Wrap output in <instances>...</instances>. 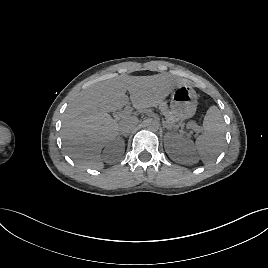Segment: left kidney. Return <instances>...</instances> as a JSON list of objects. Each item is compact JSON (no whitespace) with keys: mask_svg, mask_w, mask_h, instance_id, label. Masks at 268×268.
<instances>
[{"mask_svg":"<svg viewBox=\"0 0 268 268\" xmlns=\"http://www.w3.org/2000/svg\"><path fill=\"white\" fill-rule=\"evenodd\" d=\"M164 147L169 157L176 162L182 164H194L198 162V156L192 140L180 134H166Z\"/></svg>","mask_w":268,"mask_h":268,"instance_id":"left-kidney-1","label":"left kidney"}]
</instances>
